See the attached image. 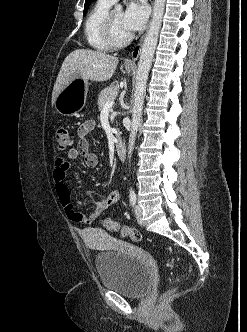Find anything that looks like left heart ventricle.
Returning a JSON list of instances; mask_svg holds the SVG:
<instances>
[{"instance_id":"obj_1","label":"left heart ventricle","mask_w":247,"mask_h":332,"mask_svg":"<svg viewBox=\"0 0 247 332\" xmlns=\"http://www.w3.org/2000/svg\"><path fill=\"white\" fill-rule=\"evenodd\" d=\"M122 19H123L122 11L112 12L113 31L114 35L118 39H123L130 34V32L124 27Z\"/></svg>"}]
</instances>
